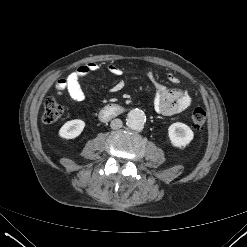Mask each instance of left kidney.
Here are the masks:
<instances>
[{
    "mask_svg": "<svg viewBox=\"0 0 247 247\" xmlns=\"http://www.w3.org/2000/svg\"><path fill=\"white\" fill-rule=\"evenodd\" d=\"M168 136L174 147L187 146L194 137L193 131L184 123L176 122L169 126Z\"/></svg>",
    "mask_w": 247,
    "mask_h": 247,
    "instance_id": "5707ae66",
    "label": "left kidney"
}]
</instances>
